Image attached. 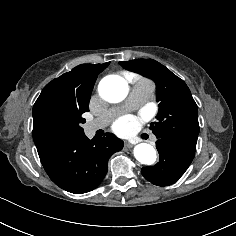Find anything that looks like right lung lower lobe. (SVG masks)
Listing matches in <instances>:
<instances>
[{
  "mask_svg": "<svg viewBox=\"0 0 236 236\" xmlns=\"http://www.w3.org/2000/svg\"><path fill=\"white\" fill-rule=\"evenodd\" d=\"M123 145V141L110 133L97 141L82 133L55 138L36 147L50 179L68 192L82 194L101 183L107 173L108 159Z\"/></svg>",
  "mask_w": 236,
  "mask_h": 236,
  "instance_id": "right-lung-lower-lobe-1",
  "label": "right lung lower lobe"
}]
</instances>
